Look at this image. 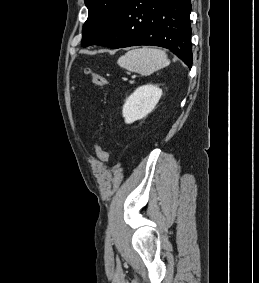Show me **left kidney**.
I'll use <instances>...</instances> for the list:
<instances>
[{"mask_svg":"<svg viewBox=\"0 0 259 283\" xmlns=\"http://www.w3.org/2000/svg\"><path fill=\"white\" fill-rule=\"evenodd\" d=\"M162 96V89L156 85H143L127 99L122 114L126 124L145 118L151 113Z\"/></svg>","mask_w":259,"mask_h":283,"instance_id":"left-kidney-1","label":"left kidney"}]
</instances>
